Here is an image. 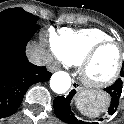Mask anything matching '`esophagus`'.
<instances>
[{
  "instance_id": "esophagus-1",
  "label": "esophagus",
  "mask_w": 124,
  "mask_h": 124,
  "mask_svg": "<svg viewBox=\"0 0 124 124\" xmlns=\"http://www.w3.org/2000/svg\"><path fill=\"white\" fill-rule=\"evenodd\" d=\"M49 69L51 71H55L58 69V66L56 63H53L49 66ZM72 89L76 90V91H79L80 87L77 85V83H74V85L72 86Z\"/></svg>"
}]
</instances>
